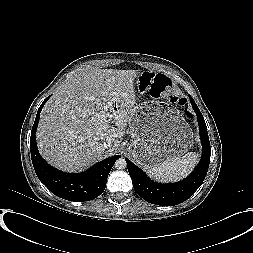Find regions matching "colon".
I'll return each mask as SVG.
<instances>
[{"label":"colon","mask_w":253,"mask_h":253,"mask_svg":"<svg viewBox=\"0 0 253 253\" xmlns=\"http://www.w3.org/2000/svg\"><path fill=\"white\" fill-rule=\"evenodd\" d=\"M140 89L154 99H164L176 109L187 103L186 96L161 74L143 73L139 78Z\"/></svg>","instance_id":"5ec220e1"}]
</instances>
